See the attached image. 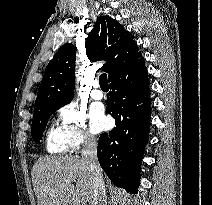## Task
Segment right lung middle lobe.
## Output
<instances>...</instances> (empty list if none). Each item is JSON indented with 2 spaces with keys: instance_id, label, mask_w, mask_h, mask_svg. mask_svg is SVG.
<instances>
[{
  "instance_id": "right-lung-middle-lobe-1",
  "label": "right lung middle lobe",
  "mask_w": 212,
  "mask_h": 205,
  "mask_svg": "<svg viewBox=\"0 0 212 205\" xmlns=\"http://www.w3.org/2000/svg\"><path fill=\"white\" fill-rule=\"evenodd\" d=\"M61 107L62 106L60 105H45L34 109L31 134L36 143H39L42 139V135L50 115Z\"/></svg>"
}]
</instances>
